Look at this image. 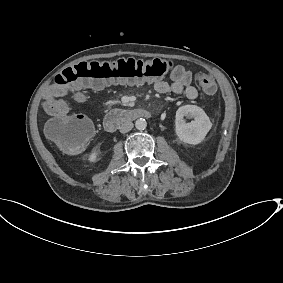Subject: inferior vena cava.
<instances>
[{"instance_id": "1", "label": "inferior vena cava", "mask_w": 283, "mask_h": 283, "mask_svg": "<svg viewBox=\"0 0 283 283\" xmlns=\"http://www.w3.org/2000/svg\"><path fill=\"white\" fill-rule=\"evenodd\" d=\"M133 123L131 121L124 122L120 127L121 133H127L133 128Z\"/></svg>"}]
</instances>
